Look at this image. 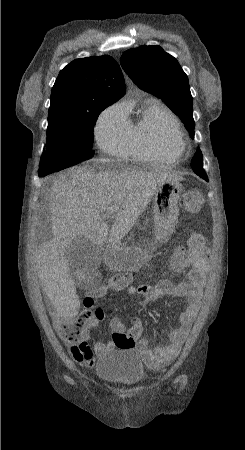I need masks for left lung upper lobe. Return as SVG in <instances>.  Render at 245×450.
<instances>
[{
    "instance_id": "left-lung-upper-lobe-1",
    "label": "left lung upper lobe",
    "mask_w": 245,
    "mask_h": 450,
    "mask_svg": "<svg viewBox=\"0 0 245 450\" xmlns=\"http://www.w3.org/2000/svg\"><path fill=\"white\" fill-rule=\"evenodd\" d=\"M120 63L140 89L167 102L188 128L193 139V98L188 77L176 58L160 46H141L124 52ZM191 167L197 175H206L200 150L193 157Z\"/></svg>"
}]
</instances>
